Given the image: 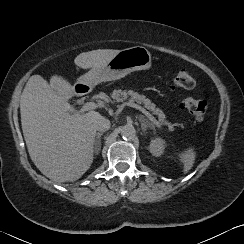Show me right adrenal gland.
<instances>
[{
    "instance_id": "1",
    "label": "right adrenal gland",
    "mask_w": 244,
    "mask_h": 244,
    "mask_svg": "<svg viewBox=\"0 0 244 244\" xmlns=\"http://www.w3.org/2000/svg\"><path fill=\"white\" fill-rule=\"evenodd\" d=\"M103 135V132H98L96 134V138H95V141H94V152L95 154L97 155L100 150H101V136Z\"/></svg>"
}]
</instances>
